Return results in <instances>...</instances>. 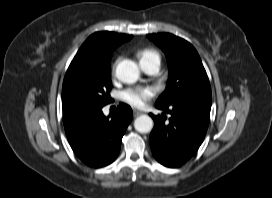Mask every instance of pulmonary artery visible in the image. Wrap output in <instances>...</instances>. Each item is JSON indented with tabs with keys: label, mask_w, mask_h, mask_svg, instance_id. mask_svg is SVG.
<instances>
[{
	"label": "pulmonary artery",
	"mask_w": 272,
	"mask_h": 198,
	"mask_svg": "<svg viewBox=\"0 0 272 198\" xmlns=\"http://www.w3.org/2000/svg\"><path fill=\"white\" fill-rule=\"evenodd\" d=\"M159 64L160 63L158 61H150V62L142 63L141 67L146 73L150 75H154L158 72Z\"/></svg>",
	"instance_id": "pulmonary-artery-1"
}]
</instances>
